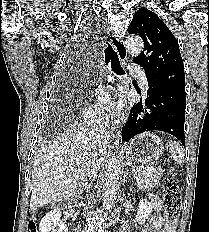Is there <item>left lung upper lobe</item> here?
Returning a JSON list of instances; mask_svg holds the SVG:
<instances>
[{
  "instance_id": "left-lung-upper-lobe-1",
  "label": "left lung upper lobe",
  "mask_w": 209,
  "mask_h": 232,
  "mask_svg": "<svg viewBox=\"0 0 209 232\" xmlns=\"http://www.w3.org/2000/svg\"><path fill=\"white\" fill-rule=\"evenodd\" d=\"M128 33L137 34L144 41V50L134 62L144 68L149 86L185 93L179 45L164 22L154 12L142 8L134 14Z\"/></svg>"
}]
</instances>
